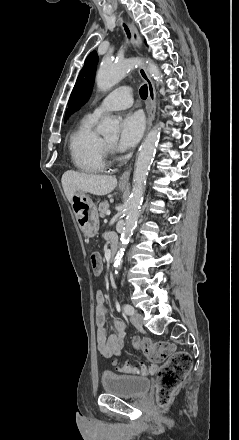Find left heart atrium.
<instances>
[{
  "label": "left heart atrium",
  "instance_id": "39dd6f15",
  "mask_svg": "<svg viewBox=\"0 0 239 440\" xmlns=\"http://www.w3.org/2000/svg\"><path fill=\"white\" fill-rule=\"evenodd\" d=\"M143 130V116L139 112L126 113L120 122L115 148L117 150H126L133 147L139 141Z\"/></svg>",
  "mask_w": 239,
  "mask_h": 440
}]
</instances>
